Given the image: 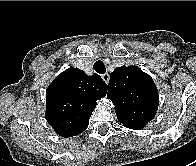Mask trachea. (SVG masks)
Masks as SVG:
<instances>
[{"instance_id": "trachea-1", "label": "trachea", "mask_w": 196, "mask_h": 166, "mask_svg": "<svg viewBox=\"0 0 196 166\" xmlns=\"http://www.w3.org/2000/svg\"><path fill=\"white\" fill-rule=\"evenodd\" d=\"M94 70L97 72V73H99V74H104L105 73V71H106V68H105V65H104V63L102 62V61H96L95 63H94Z\"/></svg>"}]
</instances>
